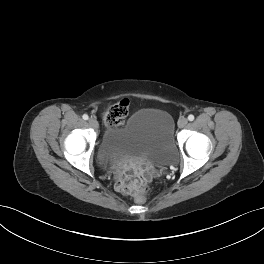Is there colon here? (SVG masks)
<instances>
[{
  "mask_svg": "<svg viewBox=\"0 0 264 264\" xmlns=\"http://www.w3.org/2000/svg\"><path fill=\"white\" fill-rule=\"evenodd\" d=\"M129 103L121 100L111 105L103 115V121L107 126L120 125L128 115ZM118 189L126 195H132L138 203H144L149 186L142 175L138 172L130 171L122 175L118 180Z\"/></svg>",
  "mask_w": 264,
  "mask_h": 264,
  "instance_id": "1",
  "label": "colon"
}]
</instances>
